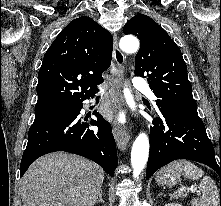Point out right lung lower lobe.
I'll use <instances>...</instances> for the list:
<instances>
[{
  "instance_id": "98d812e1",
  "label": "right lung lower lobe",
  "mask_w": 221,
  "mask_h": 206,
  "mask_svg": "<svg viewBox=\"0 0 221 206\" xmlns=\"http://www.w3.org/2000/svg\"><path fill=\"white\" fill-rule=\"evenodd\" d=\"M82 101L75 104L71 111L34 120L21 160L20 177L37 158L55 151H66L93 160L113 176L117 151L111 125L96 111L97 120L86 122L87 119H79ZM90 125L97 126L98 130H90Z\"/></svg>"
}]
</instances>
